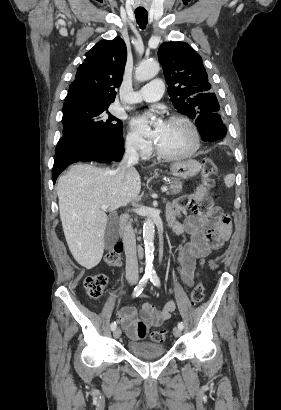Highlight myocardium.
Instances as JSON below:
<instances>
[{
    "label": "myocardium",
    "instance_id": "obj_1",
    "mask_svg": "<svg viewBox=\"0 0 281 410\" xmlns=\"http://www.w3.org/2000/svg\"><path fill=\"white\" fill-rule=\"evenodd\" d=\"M168 121H179L186 124L192 131L194 137V143L191 149L183 153H168L162 150L157 143H155V151L156 153L164 159L167 160H176V159H184L194 155L200 148L201 145V134L197 127V125L187 116L182 114H174L168 118Z\"/></svg>",
    "mask_w": 281,
    "mask_h": 410
}]
</instances>
